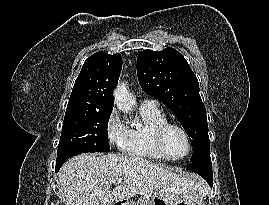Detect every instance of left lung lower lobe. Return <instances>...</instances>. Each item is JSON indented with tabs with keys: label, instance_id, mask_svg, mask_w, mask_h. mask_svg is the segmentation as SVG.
I'll list each match as a JSON object with an SVG mask.
<instances>
[{
	"label": "left lung lower lobe",
	"instance_id": "obj_1",
	"mask_svg": "<svg viewBox=\"0 0 269 205\" xmlns=\"http://www.w3.org/2000/svg\"><path fill=\"white\" fill-rule=\"evenodd\" d=\"M188 170L193 171L200 176H202L208 184L212 187L213 177H212V163L210 158V153L203 155L197 161L192 162L188 167Z\"/></svg>",
	"mask_w": 269,
	"mask_h": 205
}]
</instances>
